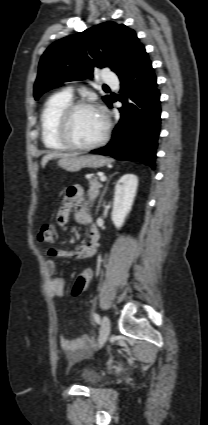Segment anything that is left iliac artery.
Here are the masks:
<instances>
[{"label":"left iliac artery","mask_w":208,"mask_h":425,"mask_svg":"<svg viewBox=\"0 0 208 425\" xmlns=\"http://www.w3.org/2000/svg\"><path fill=\"white\" fill-rule=\"evenodd\" d=\"M93 317H94V320H95L98 324H100V316H99L97 313H94Z\"/></svg>","instance_id":"1"}]
</instances>
